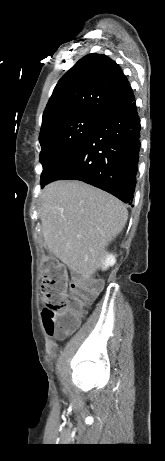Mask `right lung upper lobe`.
Segmentation results:
<instances>
[{
    "label": "right lung upper lobe",
    "mask_w": 165,
    "mask_h": 461,
    "mask_svg": "<svg viewBox=\"0 0 165 461\" xmlns=\"http://www.w3.org/2000/svg\"><path fill=\"white\" fill-rule=\"evenodd\" d=\"M134 100L120 66L106 55L88 54L57 83L43 113L40 133L61 119L79 116L103 119Z\"/></svg>",
    "instance_id": "obj_1"
}]
</instances>
